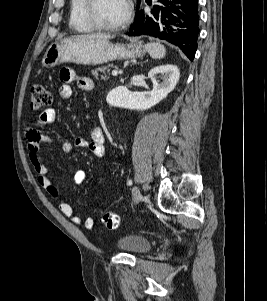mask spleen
Here are the masks:
<instances>
[{"label":"spleen","instance_id":"obj_1","mask_svg":"<svg viewBox=\"0 0 267 301\" xmlns=\"http://www.w3.org/2000/svg\"><path fill=\"white\" fill-rule=\"evenodd\" d=\"M145 47L153 59H162L166 55V49L160 43H147Z\"/></svg>","mask_w":267,"mask_h":301}]
</instances>
